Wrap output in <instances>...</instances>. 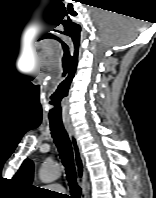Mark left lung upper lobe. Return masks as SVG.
I'll use <instances>...</instances> for the list:
<instances>
[{
    "instance_id": "1",
    "label": "left lung upper lobe",
    "mask_w": 156,
    "mask_h": 198,
    "mask_svg": "<svg viewBox=\"0 0 156 198\" xmlns=\"http://www.w3.org/2000/svg\"><path fill=\"white\" fill-rule=\"evenodd\" d=\"M33 174L34 164L31 160L26 159L13 179L21 184L30 185L33 180Z\"/></svg>"
}]
</instances>
